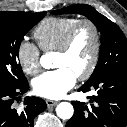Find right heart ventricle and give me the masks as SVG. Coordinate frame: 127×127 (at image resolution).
<instances>
[{
	"mask_svg": "<svg viewBox=\"0 0 127 127\" xmlns=\"http://www.w3.org/2000/svg\"><path fill=\"white\" fill-rule=\"evenodd\" d=\"M78 21L76 17H48L42 20L33 32L39 48L44 52L56 50Z\"/></svg>",
	"mask_w": 127,
	"mask_h": 127,
	"instance_id": "obj_1",
	"label": "right heart ventricle"
}]
</instances>
